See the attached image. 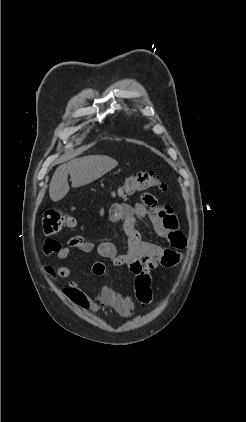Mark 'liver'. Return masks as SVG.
<instances>
[{"instance_id":"obj_1","label":"liver","mask_w":246,"mask_h":422,"mask_svg":"<svg viewBox=\"0 0 246 422\" xmlns=\"http://www.w3.org/2000/svg\"><path fill=\"white\" fill-rule=\"evenodd\" d=\"M118 165V162L108 156L91 155L74 159L60 165L53 174L49 185V195L52 201H59L69 192L68 175L71 176L72 187L87 185Z\"/></svg>"}]
</instances>
